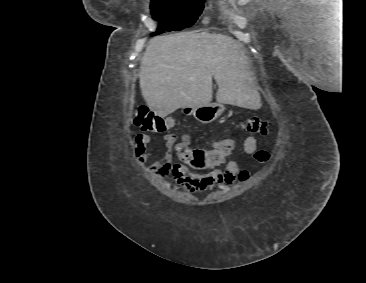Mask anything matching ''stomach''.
Instances as JSON below:
<instances>
[{
    "label": "stomach",
    "mask_w": 366,
    "mask_h": 283,
    "mask_svg": "<svg viewBox=\"0 0 366 283\" xmlns=\"http://www.w3.org/2000/svg\"><path fill=\"white\" fill-rule=\"evenodd\" d=\"M224 110V104L219 101L201 106L184 107L185 114H192L197 121L203 124L213 122L223 113Z\"/></svg>",
    "instance_id": "obj_1"
}]
</instances>
